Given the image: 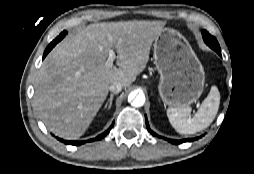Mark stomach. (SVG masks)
<instances>
[{"mask_svg":"<svg viewBox=\"0 0 254 174\" xmlns=\"http://www.w3.org/2000/svg\"><path fill=\"white\" fill-rule=\"evenodd\" d=\"M153 47L162 101L171 108L196 102L203 92L205 73L186 38L175 29L163 27Z\"/></svg>","mask_w":254,"mask_h":174,"instance_id":"1","label":"stomach"}]
</instances>
